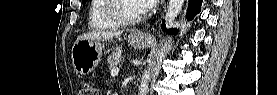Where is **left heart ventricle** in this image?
<instances>
[{"label": "left heart ventricle", "instance_id": "b2bd125f", "mask_svg": "<svg viewBox=\"0 0 277 95\" xmlns=\"http://www.w3.org/2000/svg\"><path fill=\"white\" fill-rule=\"evenodd\" d=\"M144 7L139 0H124L120 2L117 11L125 17H137Z\"/></svg>", "mask_w": 277, "mask_h": 95}]
</instances>
